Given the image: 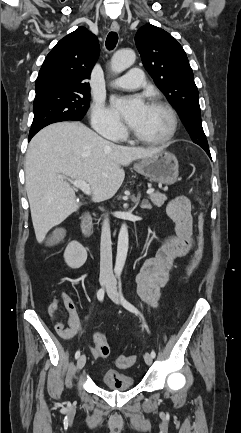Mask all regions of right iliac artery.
I'll return each mask as SVG.
<instances>
[{"mask_svg":"<svg viewBox=\"0 0 241 433\" xmlns=\"http://www.w3.org/2000/svg\"><path fill=\"white\" fill-rule=\"evenodd\" d=\"M104 293H105V291H104L103 288H101V289L98 290V292H97V298H98L99 301H103ZM79 356H80V351L78 350V351L75 353V359H78Z\"/></svg>","mask_w":241,"mask_h":433,"instance_id":"right-iliac-artery-1","label":"right iliac artery"}]
</instances>
